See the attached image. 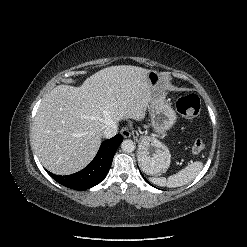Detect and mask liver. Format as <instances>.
Listing matches in <instances>:
<instances>
[{"mask_svg":"<svg viewBox=\"0 0 247 247\" xmlns=\"http://www.w3.org/2000/svg\"><path fill=\"white\" fill-rule=\"evenodd\" d=\"M149 70L119 65L88 77L80 87L59 85L39 106L34 147L42 165L57 175L83 169L96 155L102 131L112 122L142 120L155 89Z\"/></svg>","mask_w":247,"mask_h":247,"instance_id":"6515ba94","label":"liver"}]
</instances>
